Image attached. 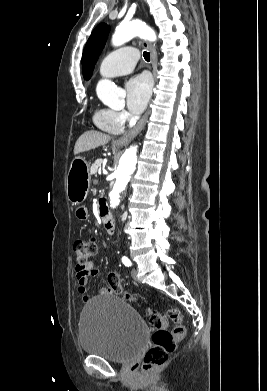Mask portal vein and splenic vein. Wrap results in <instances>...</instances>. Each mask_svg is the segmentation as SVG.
Returning a JSON list of instances; mask_svg holds the SVG:
<instances>
[{
    "instance_id": "18ae733b",
    "label": "portal vein and splenic vein",
    "mask_w": 267,
    "mask_h": 391,
    "mask_svg": "<svg viewBox=\"0 0 267 391\" xmlns=\"http://www.w3.org/2000/svg\"><path fill=\"white\" fill-rule=\"evenodd\" d=\"M102 173V170H101V168L98 170V174H101Z\"/></svg>"
}]
</instances>
